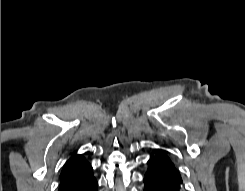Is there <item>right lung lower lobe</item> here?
<instances>
[{
	"label": "right lung lower lobe",
	"mask_w": 245,
	"mask_h": 191,
	"mask_svg": "<svg viewBox=\"0 0 245 191\" xmlns=\"http://www.w3.org/2000/svg\"><path fill=\"white\" fill-rule=\"evenodd\" d=\"M58 191H98V182L93 176V169L89 165L60 181Z\"/></svg>",
	"instance_id": "right-lung-lower-lobe-1"
}]
</instances>
